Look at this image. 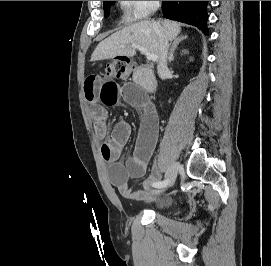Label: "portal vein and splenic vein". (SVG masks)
I'll list each match as a JSON object with an SVG mask.
<instances>
[{"label": "portal vein and splenic vein", "instance_id": "obj_1", "mask_svg": "<svg viewBox=\"0 0 271 266\" xmlns=\"http://www.w3.org/2000/svg\"><path fill=\"white\" fill-rule=\"evenodd\" d=\"M131 48L138 49L142 54L146 55L147 59L151 61H155L157 59L156 55L153 53H150L147 48L144 46L138 45V44H132Z\"/></svg>", "mask_w": 271, "mask_h": 266}]
</instances>
